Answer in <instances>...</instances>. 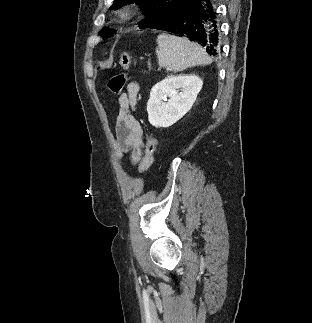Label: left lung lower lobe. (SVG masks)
Instances as JSON below:
<instances>
[{
	"mask_svg": "<svg viewBox=\"0 0 312 323\" xmlns=\"http://www.w3.org/2000/svg\"><path fill=\"white\" fill-rule=\"evenodd\" d=\"M171 11L154 28L201 44L213 56L220 49V25L215 0H174Z\"/></svg>",
	"mask_w": 312,
	"mask_h": 323,
	"instance_id": "left-lung-lower-lobe-1",
	"label": "left lung lower lobe"
}]
</instances>
